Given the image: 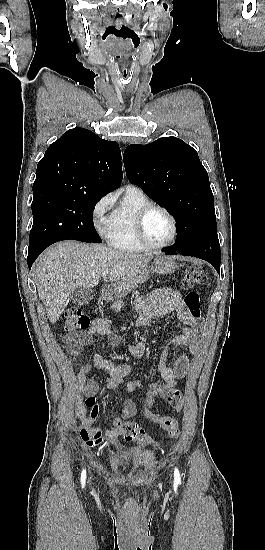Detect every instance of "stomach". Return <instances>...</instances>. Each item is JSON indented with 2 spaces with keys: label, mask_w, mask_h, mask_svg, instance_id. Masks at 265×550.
Segmentation results:
<instances>
[{
  "label": "stomach",
  "mask_w": 265,
  "mask_h": 550,
  "mask_svg": "<svg viewBox=\"0 0 265 550\" xmlns=\"http://www.w3.org/2000/svg\"><path fill=\"white\" fill-rule=\"evenodd\" d=\"M178 263L173 257L164 255H155L150 264H148L130 283L124 291H130L145 281L151 273L169 274L173 273L178 268Z\"/></svg>",
  "instance_id": "0dacf381"
}]
</instances>
